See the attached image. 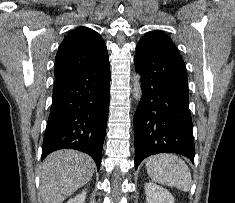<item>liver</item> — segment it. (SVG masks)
Here are the masks:
<instances>
[{"label": "liver", "mask_w": 235, "mask_h": 203, "mask_svg": "<svg viewBox=\"0 0 235 203\" xmlns=\"http://www.w3.org/2000/svg\"><path fill=\"white\" fill-rule=\"evenodd\" d=\"M95 163L90 156L75 150L49 154L40 169V194L43 203H62L89 182Z\"/></svg>", "instance_id": "1"}]
</instances>
